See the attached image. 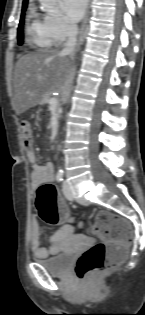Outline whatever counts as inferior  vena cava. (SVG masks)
<instances>
[{"instance_id":"obj_1","label":"inferior vena cava","mask_w":145,"mask_h":315,"mask_svg":"<svg viewBox=\"0 0 145 315\" xmlns=\"http://www.w3.org/2000/svg\"><path fill=\"white\" fill-rule=\"evenodd\" d=\"M77 35H78L77 25L70 24L68 26L67 31V41L64 44L63 50L61 51L62 55H70L71 57H73L77 41Z\"/></svg>"}]
</instances>
